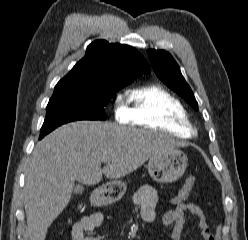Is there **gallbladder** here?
<instances>
[{
  "mask_svg": "<svg viewBox=\"0 0 248 240\" xmlns=\"http://www.w3.org/2000/svg\"><path fill=\"white\" fill-rule=\"evenodd\" d=\"M84 191V187L82 185H77L75 188H74V193L75 194H80Z\"/></svg>",
  "mask_w": 248,
  "mask_h": 240,
  "instance_id": "gallbladder-1",
  "label": "gallbladder"
}]
</instances>
